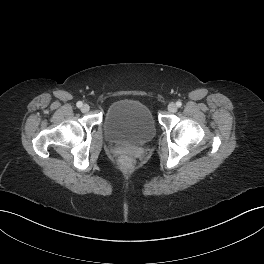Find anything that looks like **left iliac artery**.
<instances>
[{
	"instance_id": "left-iliac-artery-1",
	"label": "left iliac artery",
	"mask_w": 264,
	"mask_h": 264,
	"mask_svg": "<svg viewBox=\"0 0 264 264\" xmlns=\"http://www.w3.org/2000/svg\"><path fill=\"white\" fill-rule=\"evenodd\" d=\"M176 105H177V107H181V105H182L181 101H177Z\"/></svg>"
}]
</instances>
